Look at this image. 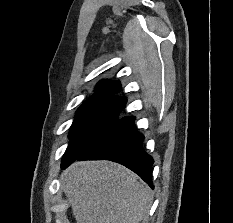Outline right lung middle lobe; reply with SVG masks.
Listing matches in <instances>:
<instances>
[{"label": "right lung middle lobe", "mask_w": 233, "mask_h": 223, "mask_svg": "<svg viewBox=\"0 0 233 223\" xmlns=\"http://www.w3.org/2000/svg\"><path fill=\"white\" fill-rule=\"evenodd\" d=\"M125 98L113 94H94L78 109L79 117L70 129L72 139L65 155H80L118 120Z\"/></svg>", "instance_id": "right-lung-middle-lobe-1"}]
</instances>
